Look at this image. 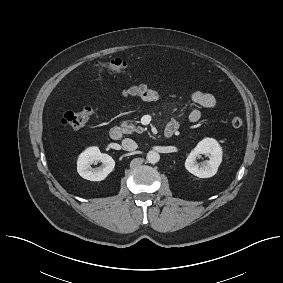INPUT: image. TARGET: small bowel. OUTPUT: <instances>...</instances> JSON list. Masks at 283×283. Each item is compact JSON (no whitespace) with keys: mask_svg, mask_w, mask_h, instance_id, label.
I'll use <instances>...</instances> for the list:
<instances>
[{"mask_svg":"<svg viewBox=\"0 0 283 283\" xmlns=\"http://www.w3.org/2000/svg\"><path fill=\"white\" fill-rule=\"evenodd\" d=\"M129 96H136L141 98L146 102H154L158 99V92L152 88L148 82H143L138 85L131 86L121 91L119 97L121 99L127 98ZM191 98V106L189 108L188 120L191 123H196L201 118V108L211 109L216 105V99L212 94L201 92V91H193L190 95ZM169 124H173L179 128V121L177 119H172Z\"/></svg>","mask_w":283,"mask_h":283,"instance_id":"1","label":"small bowel"}]
</instances>
